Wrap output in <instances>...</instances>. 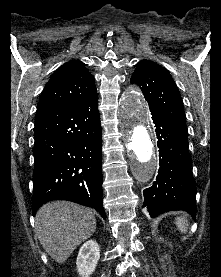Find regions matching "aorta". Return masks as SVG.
Listing matches in <instances>:
<instances>
[{"label": "aorta", "instance_id": "aorta-1", "mask_svg": "<svg viewBox=\"0 0 221 277\" xmlns=\"http://www.w3.org/2000/svg\"><path fill=\"white\" fill-rule=\"evenodd\" d=\"M118 116L127 148L132 152L135 178L149 181L157 170L158 162L150 136V120L142 97L135 89L126 91L118 103Z\"/></svg>", "mask_w": 221, "mask_h": 277}]
</instances>
